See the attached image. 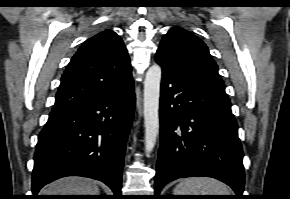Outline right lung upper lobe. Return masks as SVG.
<instances>
[{
	"label": "right lung upper lobe",
	"mask_w": 290,
	"mask_h": 199,
	"mask_svg": "<svg viewBox=\"0 0 290 199\" xmlns=\"http://www.w3.org/2000/svg\"><path fill=\"white\" fill-rule=\"evenodd\" d=\"M131 66L122 39L102 31L86 40L64 71L53 109L85 103L124 90Z\"/></svg>",
	"instance_id": "right-lung-upper-lobe-1"
}]
</instances>
